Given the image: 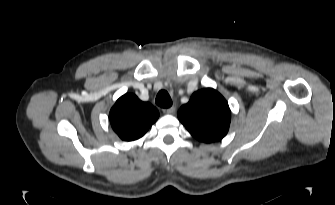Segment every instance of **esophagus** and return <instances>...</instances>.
I'll return each instance as SVG.
<instances>
[{
    "label": "esophagus",
    "instance_id": "1",
    "mask_svg": "<svg viewBox=\"0 0 335 205\" xmlns=\"http://www.w3.org/2000/svg\"><path fill=\"white\" fill-rule=\"evenodd\" d=\"M162 111H163V113H165V114H173V113H175V111H176V107H175V106H172V107H170V108L163 109Z\"/></svg>",
    "mask_w": 335,
    "mask_h": 205
}]
</instances>
